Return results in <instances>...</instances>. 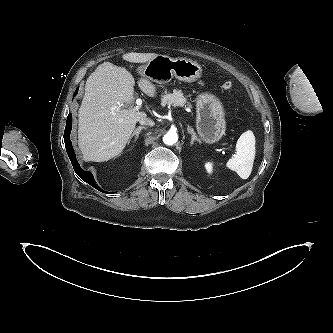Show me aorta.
<instances>
[{
  "label": "aorta",
  "instance_id": "762f6f07",
  "mask_svg": "<svg viewBox=\"0 0 333 333\" xmlns=\"http://www.w3.org/2000/svg\"><path fill=\"white\" fill-rule=\"evenodd\" d=\"M177 140H178V135L174 131H169L163 137V142L166 145H173V144H175L177 142Z\"/></svg>",
  "mask_w": 333,
  "mask_h": 333
}]
</instances>
